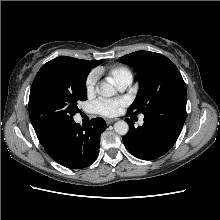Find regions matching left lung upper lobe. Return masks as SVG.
<instances>
[{
  "label": "left lung upper lobe",
  "mask_w": 220,
  "mask_h": 220,
  "mask_svg": "<svg viewBox=\"0 0 220 220\" xmlns=\"http://www.w3.org/2000/svg\"><path fill=\"white\" fill-rule=\"evenodd\" d=\"M119 62L132 66L138 73L140 88L129 115H144L174 104H186L187 90L177 67L164 55L136 51L120 57Z\"/></svg>",
  "instance_id": "left-lung-upper-lobe-1"
}]
</instances>
